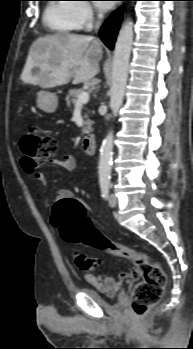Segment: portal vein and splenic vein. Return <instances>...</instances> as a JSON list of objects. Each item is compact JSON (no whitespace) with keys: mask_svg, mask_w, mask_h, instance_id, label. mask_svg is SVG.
Segmentation results:
<instances>
[{"mask_svg":"<svg viewBox=\"0 0 193 349\" xmlns=\"http://www.w3.org/2000/svg\"><path fill=\"white\" fill-rule=\"evenodd\" d=\"M89 100V93L88 92H82L76 101V104H83V103H87Z\"/></svg>","mask_w":193,"mask_h":349,"instance_id":"portal-vein-and-splenic-vein-1","label":"portal vein and splenic vein"}]
</instances>
